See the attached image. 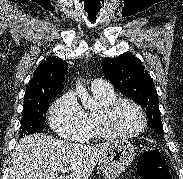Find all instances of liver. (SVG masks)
<instances>
[{
	"mask_svg": "<svg viewBox=\"0 0 183 179\" xmlns=\"http://www.w3.org/2000/svg\"><path fill=\"white\" fill-rule=\"evenodd\" d=\"M112 143L86 146L46 134L23 137L14 149L8 179H88ZM63 168L71 171L69 176H58Z\"/></svg>",
	"mask_w": 183,
	"mask_h": 179,
	"instance_id": "obj_1",
	"label": "liver"
}]
</instances>
